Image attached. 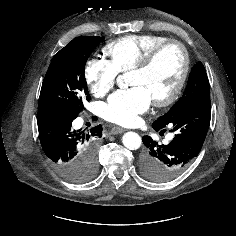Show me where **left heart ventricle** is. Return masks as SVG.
Here are the masks:
<instances>
[{
	"label": "left heart ventricle",
	"instance_id": "left-heart-ventricle-1",
	"mask_svg": "<svg viewBox=\"0 0 236 236\" xmlns=\"http://www.w3.org/2000/svg\"><path fill=\"white\" fill-rule=\"evenodd\" d=\"M183 65V56L177 46H169L143 72L130 73V85L144 87L151 98L166 97L174 88Z\"/></svg>",
	"mask_w": 236,
	"mask_h": 236
}]
</instances>
